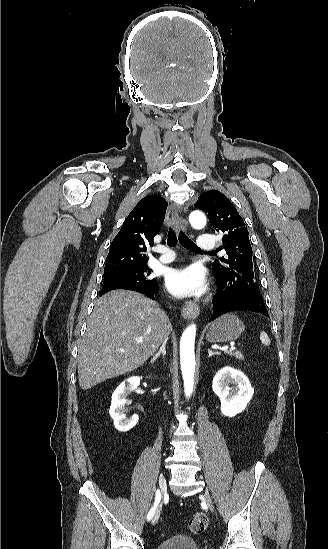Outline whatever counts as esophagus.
Masks as SVG:
<instances>
[{
	"instance_id": "obj_1",
	"label": "esophagus",
	"mask_w": 328,
	"mask_h": 549,
	"mask_svg": "<svg viewBox=\"0 0 328 549\" xmlns=\"http://www.w3.org/2000/svg\"><path fill=\"white\" fill-rule=\"evenodd\" d=\"M166 222L168 225L175 228L176 230L180 227H185L184 220L182 219V217L179 216L177 210L173 205L168 206V210L166 213ZM199 312V306L195 302L188 301L185 302L181 314L182 317H184L185 319H194L198 316Z\"/></svg>"
}]
</instances>
